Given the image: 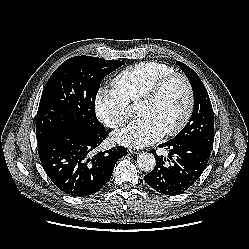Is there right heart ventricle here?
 <instances>
[{
  "label": "right heart ventricle",
  "instance_id": "obj_1",
  "mask_svg": "<svg viewBox=\"0 0 249 249\" xmlns=\"http://www.w3.org/2000/svg\"><path fill=\"white\" fill-rule=\"evenodd\" d=\"M174 72V68L156 61L134 64L119 72L112 84L117 93L129 104L139 100L159 78Z\"/></svg>",
  "mask_w": 249,
  "mask_h": 249
}]
</instances>
